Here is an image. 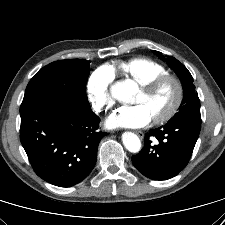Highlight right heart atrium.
Segmentation results:
<instances>
[{
	"mask_svg": "<svg viewBox=\"0 0 225 225\" xmlns=\"http://www.w3.org/2000/svg\"><path fill=\"white\" fill-rule=\"evenodd\" d=\"M113 69L103 66L95 70L87 81L88 100L96 112L107 111L113 104Z\"/></svg>",
	"mask_w": 225,
	"mask_h": 225,
	"instance_id": "obj_1",
	"label": "right heart atrium"
}]
</instances>
